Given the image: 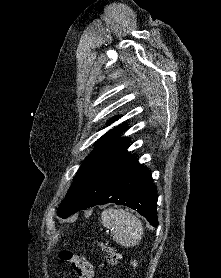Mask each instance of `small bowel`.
Here are the masks:
<instances>
[{
  "instance_id": "small-bowel-1",
  "label": "small bowel",
  "mask_w": 221,
  "mask_h": 278,
  "mask_svg": "<svg viewBox=\"0 0 221 278\" xmlns=\"http://www.w3.org/2000/svg\"><path fill=\"white\" fill-rule=\"evenodd\" d=\"M85 260L93 267V264L91 262H89L86 258H85ZM93 269H94V267H93Z\"/></svg>"
}]
</instances>
